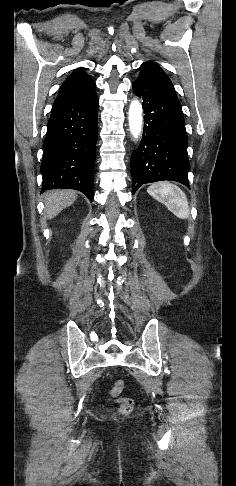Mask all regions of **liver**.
<instances>
[{
	"instance_id": "6515ba94",
	"label": "liver",
	"mask_w": 236,
	"mask_h": 486,
	"mask_svg": "<svg viewBox=\"0 0 236 486\" xmlns=\"http://www.w3.org/2000/svg\"><path fill=\"white\" fill-rule=\"evenodd\" d=\"M77 194L70 190H51L45 194V213L47 219L56 217L63 209L72 205Z\"/></svg>"
}]
</instances>
